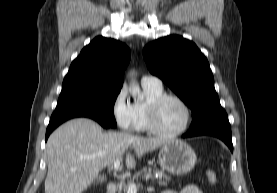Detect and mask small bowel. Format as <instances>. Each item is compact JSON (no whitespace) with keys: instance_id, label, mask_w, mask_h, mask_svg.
Instances as JSON below:
<instances>
[{"instance_id":"1","label":"small bowel","mask_w":277,"mask_h":193,"mask_svg":"<svg viewBox=\"0 0 277 193\" xmlns=\"http://www.w3.org/2000/svg\"><path fill=\"white\" fill-rule=\"evenodd\" d=\"M162 193H203L196 185L190 184L184 186L181 190H165Z\"/></svg>"}]
</instances>
